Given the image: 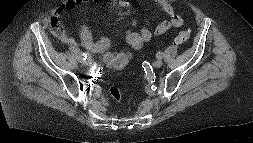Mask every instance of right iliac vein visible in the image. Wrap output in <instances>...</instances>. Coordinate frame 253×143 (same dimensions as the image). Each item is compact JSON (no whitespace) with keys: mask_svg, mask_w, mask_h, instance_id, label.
I'll list each match as a JSON object with an SVG mask.
<instances>
[{"mask_svg":"<svg viewBox=\"0 0 253 143\" xmlns=\"http://www.w3.org/2000/svg\"><path fill=\"white\" fill-rule=\"evenodd\" d=\"M85 64L88 66H91V65H93V60L91 58H87L85 61Z\"/></svg>","mask_w":253,"mask_h":143,"instance_id":"63e3f726","label":"right iliac vein"}]
</instances>
